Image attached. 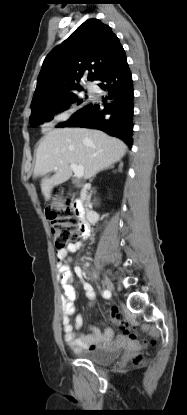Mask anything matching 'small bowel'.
<instances>
[{
    "label": "small bowel",
    "mask_w": 187,
    "mask_h": 415,
    "mask_svg": "<svg viewBox=\"0 0 187 415\" xmlns=\"http://www.w3.org/2000/svg\"><path fill=\"white\" fill-rule=\"evenodd\" d=\"M83 247L82 243L70 245L64 250H58L56 253L58 259L59 281L63 287L64 296L62 298V327L64 332V340L66 344L75 351L97 350L114 343L124 340V337L113 339V333L110 328H106L105 332H100L97 328L92 327L89 334L76 335L75 329H79L84 323V316L79 314L75 318L74 325L70 321V316L74 313V301L76 299V289L73 286V272L69 263L71 259L68 254L76 252ZM74 273L81 279L82 287L86 297L90 301L95 300V292L92 285L84 280L85 272L80 266H75Z\"/></svg>",
    "instance_id": "obj_1"
}]
</instances>
